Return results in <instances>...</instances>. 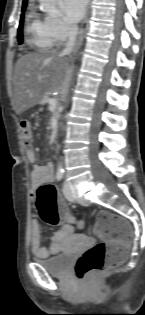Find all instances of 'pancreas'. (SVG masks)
<instances>
[{
  "instance_id": "pancreas-1",
  "label": "pancreas",
  "mask_w": 145,
  "mask_h": 315,
  "mask_svg": "<svg viewBox=\"0 0 145 315\" xmlns=\"http://www.w3.org/2000/svg\"><path fill=\"white\" fill-rule=\"evenodd\" d=\"M42 104H46V103H49V98L47 96H45L42 101H41Z\"/></svg>"
}]
</instances>
